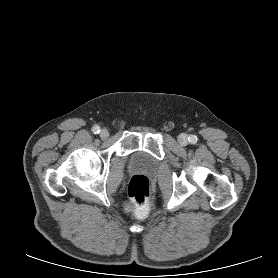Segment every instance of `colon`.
Returning a JSON list of instances; mask_svg holds the SVG:
<instances>
[{
    "instance_id": "obj_1",
    "label": "colon",
    "mask_w": 278,
    "mask_h": 278,
    "mask_svg": "<svg viewBox=\"0 0 278 278\" xmlns=\"http://www.w3.org/2000/svg\"><path fill=\"white\" fill-rule=\"evenodd\" d=\"M151 194L149 179L144 175H135L128 184V201L126 206L138 213L146 214L149 209Z\"/></svg>"
}]
</instances>
